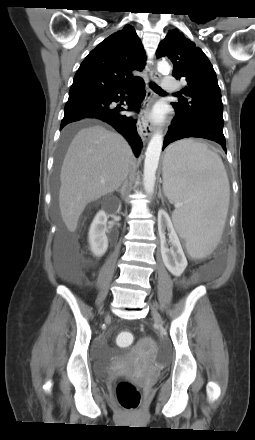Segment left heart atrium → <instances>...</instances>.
<instances>
[{
	"label": "left heart atrium",
	"mask_w": 255,
	"mask_h": 440,
	"mask_svg": "<svg viewBox=\"0 0 255 440\" xmlns=\"http://www.w3.org/2000/svg\"><path fill=\"white\" fill-rule=\"evenodd\" d=\"M153 117L155 118V119H160L161 117H162V110L161 109H156L154 112H153Z\"/></svg>",
	"instance_id": "39dd6f15"
}]
</instances>
